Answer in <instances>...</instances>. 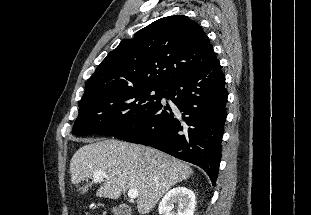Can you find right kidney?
<instances>
[{
  "label": "right kidney",
  "mask_w": 311,
  "mask_h": 215,
  "mask_svg": "<svg viewBox=\"0 0 311 215\" xmlns=\"http://www.w3.org/2000/svg\"><path fill=\"white\" fill-rule=\"evenodd\" d=\"M196 204L192 190L178 186L165 194L159 203L160 215H194Z\"/></svg>",
  "instance_id": "1"
}]
</instances>
